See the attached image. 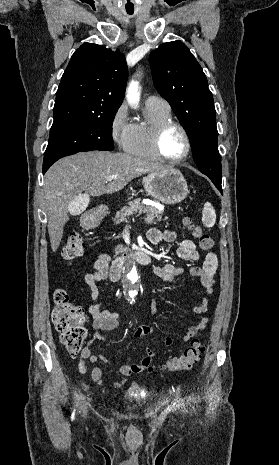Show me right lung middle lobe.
<instances>
[{"instance_id":"1","label":"right lung middle lobe","mask_w":279,"mask_h":465,"mask_svg":"<svg viewBox=\"0 0 279 465\" xmlns=\"http://www.w3.org/2000/svg\"><path fill=\"white\" fill-rule=\"evenodd\" d=\"M117 110L101 116L52 125L43 167L82 151L113 150L112 124Z\"/></svg>"}]
</instances>
